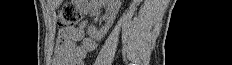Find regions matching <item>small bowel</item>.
<instances>
[{"mask_svg": "<svg viewBox=\"0 0 232 65\" xmlns=\"http://www.w3.org/2000/svg\"><path fill=\"white\" fill-rule=\"evenodd\" d=\"M81 40L77 45L76 41ZM96 47L95 42L90 38H84L81 29L65 28L58 34V61L67 65H83L85 56Z\"/></svg>", "mask_w": 232, "mask_h": 65, "instance_id": "1", "label": "small bowel"}]
</instances>
